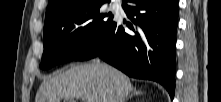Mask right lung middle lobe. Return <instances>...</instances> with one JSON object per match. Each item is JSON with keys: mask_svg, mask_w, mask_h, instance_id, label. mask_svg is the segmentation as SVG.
Here are the masks:
<instances>
[{"mask_svg": "<svg viewBox=\"0 0 221 102\" xmlns=\"http://www.w3.org/2000/svg\"><path fill=\"white\" fill-rule=\"evenodd\" d=\"M104 3V0L74 3L45 21L40 68L75 60L103 35L115 21L112 13L102 12Z\"/></svg>", "mask_w": 221, "mask_h": 102, "instance_id": "dd1d6c3e", "label": "right lung middle lobe"}]
</instances>
